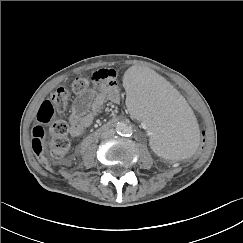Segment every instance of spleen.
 <instances>
[{
	"label": "spleen",
	"mask_w": 243,
	"mask_h": 243,
	"mask_svg": "<svg viewBox=\"0 0 243 243\" xmlns=\"http://www.w3.org/2000/svg\"><path fill=\"white\" fill-rule=\"evenodd\" d=\"M123 96L157 155L173 160L195 150L200 134L191 109L162 74L150 69L132 72L124 82Z\"/></svg>",
	"instance_id": "spleen-1"
}]
</instances>
